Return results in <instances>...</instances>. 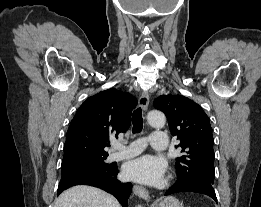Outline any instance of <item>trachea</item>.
Here are the masks:
<instances>
[{
  "label": "trachea",
  "instance_id": "3493384b",
  "mask_svg": "<svg viewBox=\"0 0 261 207\" xmlns=\"http://www.w3.org/2000/svg\"><path fill=\"white\" fill-rule=\"evenodd\" d=\"M132 122H133V130H132L133 134L141 132V130L143 128L141 107L134 110L133 116H132Z\"/></svg>",
  "mask_w": 261,
  "mask_h": 207
}]
</instances>
